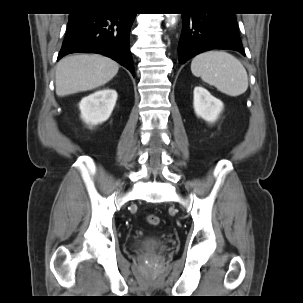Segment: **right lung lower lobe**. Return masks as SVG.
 Returning a JSON list of instances; mask_svg holds the SVG:
<instances>
[{
	"label": "right lung lower lobe",
	"mask_w": 303,
	"mask_h": 303,
	"mask_svg": "<svg viewBox=\"0 0 303 303\" xmlns=\"http://www.w3.org/2000/svg\"><path fill=\"white\" fill-rule=\"evenodd\" d=\"M135 16L134 13H109L103 9L71 13L58 60L76 52L103 54L126 67L134 76L129 41Z\"/></svg>",
	"instance_id": "98d812e1"
}]
</instances>
